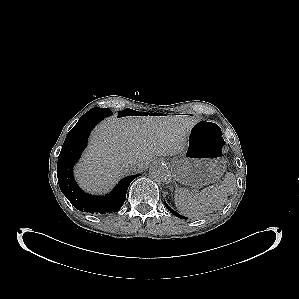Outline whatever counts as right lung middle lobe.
I'll list each match as a JSON object with an SVG mask.
<instances>
[{
	"mask_svg": "<svg viewBox=\"0 0 299 299\" xmlns=\"http://www.w3.org/2000/svg\"><path fill=\"white\" fill-rule=\"evenodd\" d=\"M111 114H112L111 111L107 108H93V109L89 110L87 113H85L83 116H81L80 119L88 118V117H95V116L104 118V117L110 116Z\"/></svg>",
	"mask_w": 299,
	"mask_h": 299,
	"instance_id": "right-lung-middle-lobe-1",
	"label": "right lung middle lobe"
}]
</instances>
